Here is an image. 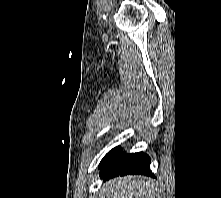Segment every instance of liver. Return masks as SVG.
Returning a JSON list of instances; mask_svg holds the SVG:
<instances>
[{
	"mask_svg": "<svg viewBox=\"0 0 221 198\" xmlns=\"http://www.w3.org/2000/svg\"><path fill=\"white\" fill-rule=\"evenodd\" d=\"M102 192L106 198H161L159 188L152 180L137 176L111 179L103 185Z\"/></svg>",
	"mask_w": 221,
	"mask_h": 198,
	"instance_id": "1",
	"label": "liver"
}]
</instances>
